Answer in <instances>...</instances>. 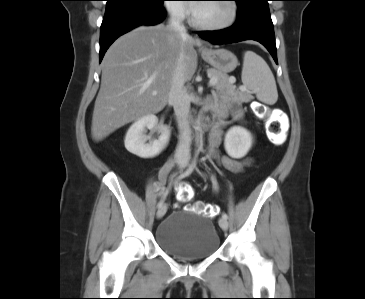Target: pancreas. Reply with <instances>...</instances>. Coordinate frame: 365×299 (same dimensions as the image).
Listing matches in <instances>:
<instances>
[{"label":"pancreas","mask_w":365,"mask_h":299,"mask_svg":"<svg viewBox=\"0 0 365 299\" xmlns=\"http://www.w3.org/2000/svg\"><path fill=\"white\" fill-rule=\"evenodd\" d=\"M207 73L211 77L217 78V83L214 85V88L220 93L225 94L232 101L247 102L250 100L251 95L248 92L236 90L232 84L233 79L229 78L227 74L215 69H208Z\"/></svg>","instance_id":"obj_1"}]
</instances>
